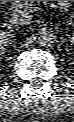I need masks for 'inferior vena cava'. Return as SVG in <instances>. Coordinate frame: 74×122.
<instances>
[{"instance_id": "obj_1", "label": "inferior vena cava", "mask_w": 74, "mask_h": 122, "mask_svg": "<svg viewBox=\"0 0 74 122\" xmlns=\"http://www.w3.org/2000/svg\"><path fill=\"white\" fill-rule=\"evenodd\" d=\"M10 21L15 25H29L32 22V15L21 8L12 14Z\"/></svg>"}]
</instances>
